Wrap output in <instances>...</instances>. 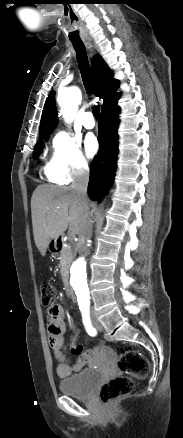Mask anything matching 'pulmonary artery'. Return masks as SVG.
Listing matches in <instances>:
<instances>
[{
    "instance_id": "1",
    "label": "pulmonary artery",
    "mask_w": 183,
    "mask_h": 438,
    "mask_svg": "<svg viewBox=\"0 0 183 438\" xmlns=\"http://www.w3.org/2000/svg\"><path fill=\"white\" fill-rule=\"evenodd\" d=\"M83 125L87 129H92L95 126V121L93 118V114L90 111H87L83 115Z\"/></svg>"
}]
</instances>
